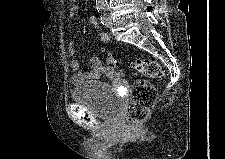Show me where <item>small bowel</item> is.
Wrapping results in <instances>:
<instances>
[{
    "label": "small bowel",
    "instance_id": "small-bowel-1",
    "mask_svg": "<svg viewBox=\"0 0 225 159\" xmlns=\"http://www.w3.org/2000/svg\"><path fill=\"white\" fill-rule=\"evenodd\" d=\"M78 6L72 5L70 8V16H74L78 12ZM89 22L96 26V21L94 17H90ZM99 38L101 43L108 44L110 41L109 35L105 32L99 33ZM67 53L71 58L69 62L70 70L73 73L72 81L75 85H80L85 81L98 80L103 76H107L110 79L116 80L117 78L111 77L106 70V66L102 63L101 59L97 56H92L90 58V70L87 72H82L79 70V62L77 59L73 58L75 54L74 45L70 42L67 45Z\"/></svg>",
    "mask_w": 225,
    "mask_h": 159
}]
</instances>
